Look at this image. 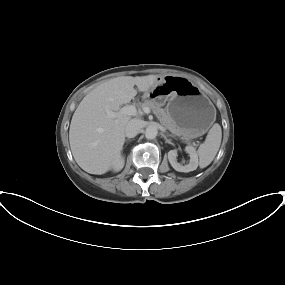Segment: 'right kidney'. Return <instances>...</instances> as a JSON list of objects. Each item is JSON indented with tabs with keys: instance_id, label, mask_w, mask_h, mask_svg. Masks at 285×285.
Instances as JSON below:
<instances>
[{
	"instance_id": "ca27d5eb",
	"label": "right kidney",
	"mask_w": 285,
	"mask_h": 285,
	"mask_svg": "<svg viewBox=\"0 0 285 285\" xmlns=\"http://www.w3.org/2000/svg\"><path fill=\"white\" fill-rule=\"evenodd\" d=\"M124 157L120 156L118 158V160L114 163V165L112 166V169L116 172L120 171L123 167H124Z\"/></svg>"
}]
</instances>
